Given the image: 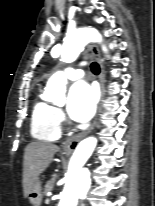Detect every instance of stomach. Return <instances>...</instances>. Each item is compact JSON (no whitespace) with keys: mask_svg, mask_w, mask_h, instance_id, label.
<instances>
[{"mask_svg":"<svg viewBox=\"0 0 155 206\" xmlns=\"http://www.w3.org/2000/svg\"><path fill=\"white\" fill-rule=\"evenodd\" d=\"M67 154V153H64ZM42 188H41V182L39 181V179H37L31 189L30 192L28 194V199L30 201V203L34 206H40L41 202H42Z\"/></svg>","mask_w":155,"mask_h":206,"instance_id":"0dacf381","label":"stomach"}]
</instances>
